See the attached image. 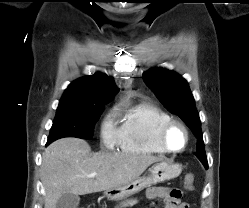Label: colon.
Returning a JSON list of instances; mask_svg holds the SVG:
<instances>
[{"label": "colon", "instance_id": "1", "mask_svg": "<svg viewBox=\"0 0 249 208\" xmlns=\"http://www.w3.org/2000/svg\"><path fill=\"white\" fill-rule=\"evenodd\" d=\"M194 175L193 174H187L185 176V179H184V182H185V185L188 189H191L192 188V185H193V182H194Z\"/></svg>", "mask_w": 249, "mask_h": 208}]
</instances>
